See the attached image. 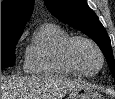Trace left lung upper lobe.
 Returning a JSON list of instances; mask_svg holds the SVG:
<instances>
[{
  "label": "left lung upper lobe",
  "instance_id": "obj_1",
  "mask_svg": "<svg viewBox=\"0 0 115 99\" xmlns=\"http://www.w3.org/2000/svg\"><path fill=\"white\" fill-rule=\"evenodd\" d=\"M45 4L59 20L82 31L96 42L104 53L115 80V61L110 38L87 3L84 0H45Z\"/></svg>",
  "mask_w": 115,
  "mask_h": 99
}]
</instances>
